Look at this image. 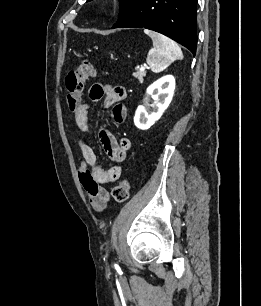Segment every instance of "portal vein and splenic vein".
Masks as SVG:
<instances>
[{"instance_id": "obj_1", "label": "portal vein and splenic vein", "mask_w": 261, "mask_h": 306, "mask_svg": "<svg viewBox=\"0 0 261 306\" xmlns=\"http://www.w3.org/2000/svg\"><path fill=\"white\" fill-rule=\"evenodd\" d=\"M145 69H146V66H141L140 67V71H145Z\"/></svg>"}]
</instances>
